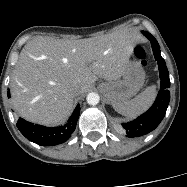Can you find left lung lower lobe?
Here are the masks:
<instances>
[{
  "mask_svg": "<svg viewBox=\"0 0 187 187\" xmlns=\"http://www.w3.org/2000/svg\"><path fill=\"white\" fill-rule=\"evenodd\" d=\"M150 41L160 73V91L152 107L137 119L122 124L127 137H140L153 131L165 116L170 101V79L164 59L160 54L159 44L148 32H142Z\"/></svg>",
  "mask_w": 187,
  "mask_h": 187,
  "instance_id": "left-lung-lower-lobe-1",
  "label": "left lung lower lobe"
}]
</instances>
